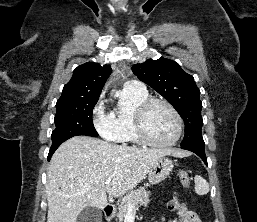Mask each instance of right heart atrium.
<instances>
[{"label": "right heart atrium", "mask_w": 257, "mask_h": 222, "mask_svg": "<svg viewBox=\"0 0 257 222\" xmlns=\"http://www.w3.org/2000/svg\"><path fill=\"white\" fill-rule=\"evenodd\" d=\"M96 129L99 134L111 141H114L117 137V131L113 122L111 114L106 117L104 122L97 121L95 123Z\"/></svg>", "instance_id": "right-heart-atrium-1"}]
</instances>
